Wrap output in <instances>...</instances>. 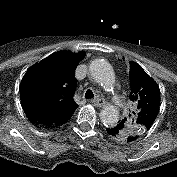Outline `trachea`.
I'll return each instance as SVG.
<instances>
[{"mask_svg": "<svg viewBox=\"0 0 177 177\" xmlns=\"http://www.w3.org/2000/svg\"><path fill=\"white\" fill-rule=\"evenodd\" d=\"M85 97L87 99H92L94 97V94H93L92 90H90V89L87 90L86 93H85Z\"/></svg>", "mask_w": 177, "mask_h": 177, "instance_id": "trachea-1", "label": "trachea"}]
</instances>
